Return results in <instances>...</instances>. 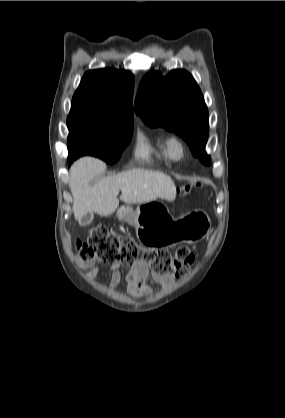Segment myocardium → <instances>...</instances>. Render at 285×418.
<instances>
[{
	"instance_id": "obj_1",
	"label": "myocardium",
	"mask_w": 285,
	"mask_h": 418,
	"mask_svg": "<svg viewBox=\"0 0 285 418\" xmlns=\"http://www.w3.org/2000/svg\"><path fill=\"white\" fill-rule=\"evenodd\" d=\"M164 145L170 159L178 161L185 156L186 144L184 139L179 135H171L167 137Z\"/></svg>"
}]
</instances>
